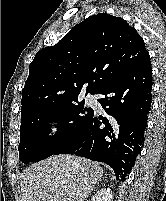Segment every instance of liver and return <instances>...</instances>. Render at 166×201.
Returning <instances> with one entry per match:
<instances>
[{"label":"liver","mask_w":166,"mask_h":201,"mask_svg":"<svg viewBox=\"0 0 166 201\" xmlns=\"http://www.w3.org/2000/svg\"><path fill=\"white\" fill-rule=\"evenodd\" d=\"M103 174L97 162L69 154L52 156L22 174V201H85Z\"/></svg>","instance_id":"1"}]
</instances>
